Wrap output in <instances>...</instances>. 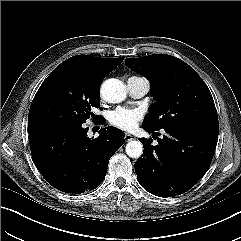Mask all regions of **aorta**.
Instances as JSON below:
<instances>
[{"mask_svg":"<svg viewBox=\"0 0 241 241\" xmlns=\"http://www.w3.org/2000/svg\"><path fill=\"white\" fill-rule=\"evenodd\" d=\"M102 98L109 103H120L126 98V87L118 79L110 78L101 85ZM125 151L131 158H139L143 153V145L140 141H130L126 144Z\"/></svg>","mask_w":241,"mask_h":241,"instance_id":"1","label":"aorta"}]
</instances>
